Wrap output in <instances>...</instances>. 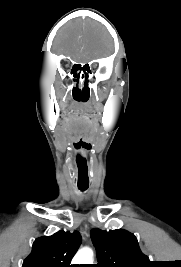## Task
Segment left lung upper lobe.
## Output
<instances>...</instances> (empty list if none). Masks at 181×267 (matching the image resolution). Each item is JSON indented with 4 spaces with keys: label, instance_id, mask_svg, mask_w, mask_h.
I'll list each match as a JSON object with an SVG mask.
<instances>
[{
    "label": "left lung upper lobe",
    "instance_id": "1",
    "mask_svg": "<svg viewBox=\"0 0 181 267\" xmlns=\"http://www.w3.org/2000/svg\"><path fill=\"white\" fill-rule=\"evenodd\" d=\"M90 236L97 252L95 267H152L132 233L123 229L107 232L94 228Z\"/></svg>",
    "mask_w": 181,
    "mask_h": 267
}]
</instances>
